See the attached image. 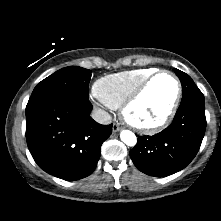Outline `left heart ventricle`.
<instances>
[{
  "label": "left heart ventricle",
  "instance_id": "1",
  "mask_svg": "<svg viewBox=\"0 0 221 221\" xmlns=\"http://www.w3.org/2000/svg\"><path fill=\"white\" fill-rule=\"evenodd\" d=\"M176 94V84L167 74L155 78L140 99L130 108L129 118L138 124L160 121L169 111Z\"/></svg>",
  "mask_w": 221,
  "mask_h": 221
}]
</instances>
